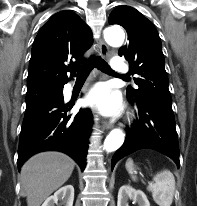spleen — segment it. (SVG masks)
Masks as SVG:
<instances>
[{
  "mask_svg": "<svg viewBox=\"0 0 197 206\" xmlns=\"http://www.w3.org/2000/svg\"><path fill=\"white\" fill-rule=\"evenodd\" d=\"M125 167L132 179L135 181L136 177L133 175L134 162L131 158L127 159ZM154 184H150L147 189L152 192V197L155 203L159 206H171L175 191V178L169 170L161 171L153 177Z\"/></svg>",
  "mask_w": 197,
  "mask_h": 206,
  "instance_id": "obj_1",
  "label": "spleen"
}]
</instances>
